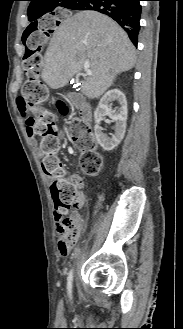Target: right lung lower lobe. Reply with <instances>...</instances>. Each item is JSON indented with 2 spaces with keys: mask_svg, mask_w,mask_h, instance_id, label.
Here are the masks:
<instances>
[{
  "mask_svg": "<svg viewBox=\"0 0 183 329\" xmlns=\"http://www.w3.org/2000/svg\"><path fill=\"white\" fill-rule=\"evenodd\" d=\"M72 10H94L114 19L137 46L140 30V0H72L67 6Z\"/></svg>",
  "mask_w": 183,
  "mask_h": 329,
  "instance_id": "right-lung-lower-lobe-1",
  "label": "right lung lower lobe"
}]
</instances>
